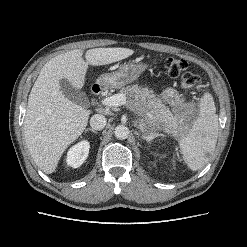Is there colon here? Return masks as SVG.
Wrapping results in <instances>:
<instances>
[{
    "label": "colon",
    "mask_w": 247,
    "mask_h": 247,
    "mask_svg": "<svg viewBox=\"0 0 247 247\" xmlns=\"http://www.w3.org/2000/svg\"><path fill=\"white\" fill-rule=\"evenodd\" d=\"M165 68L168 75L172 78L179 77L187 68V62L183 59L168 58L165 60ZM200 76L194 73H184L181 77V86L190 89L200 82Z\"/></svg>",
    "instance_id": "1"
}]
</instances>
